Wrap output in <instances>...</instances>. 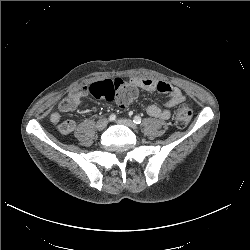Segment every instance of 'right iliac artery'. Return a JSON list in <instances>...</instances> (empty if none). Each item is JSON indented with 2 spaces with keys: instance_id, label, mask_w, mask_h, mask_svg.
Instances as JSON below:
<instances>
[{
  "instance_id": "1",
  "label": "right iliac artery",
  "mask_w": 250,
  "mask_h": 250,
  "mask_svg": "<svg viewBox=\"0 0 250 250\" xmlns=\"http://www.w3.org/2000/svg\"><path fill=\"white\" fill-rule=\"evenodd\" d=\"M116 119V115L115 114H111L110 116H109V120L110 121H114Z\"/></svg>"
}]
</instances>
